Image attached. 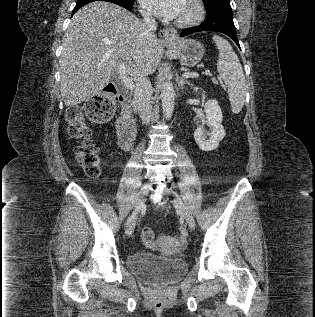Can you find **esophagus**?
Masks as SVG:
<instances>
[{"label": "esophagus", "instance_id": "obj_1", "mask_svg": "<svg viewBox=\"0 0 315 317\" xmlns=\"http://www.w3.org/2000/svg\"><path fill=\"white\" fill-rule=\"evenodd\" d=\"M161 42L168 44L177 38V32L173 28H164L159 32Z\"/></svg>", "mask_w": 315, "mask_h": 317}]
</instances>
